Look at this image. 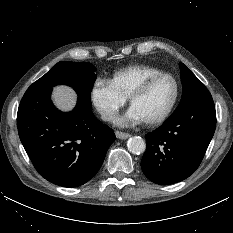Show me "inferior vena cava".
I'll return each mask as SVG.
<instances>
[{
  "instance_id": "inferior-vena-cava-1",
  "label": "inferior vena cava",
  "mask_w": 233,
  "mask_h": 233,
  "mask_svg": "<svg viewBox=\"0 0 233 233\" xmlns=\"http://www.w3.org/2000/svg\"><path fill=\"white\" fill-rule=\"evenodd\" d=\"M102 119L105 121H112V122H116L118 120L117 117L110 112H104L102 114Z\"/></svg>"
}]
</instances>
